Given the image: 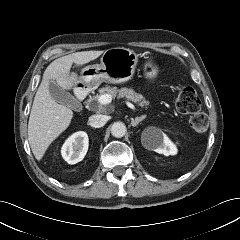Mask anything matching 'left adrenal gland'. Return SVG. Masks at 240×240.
Segmentation results:
<instances>
[{"instance_id":"left-adrenal-gland-1","label":"left adrenal gland","mask_w":240,"mask_h":240,"mask_svg":"<svg viewBox=\"0 0 240 240\" xmlns=\"http://www.w3.org/2000/svg\"><path fill=\"white\" fill-rule=\"evenodd\" d=\"M146 118L145 115L141 116V117H136L135 119L131 120V125L133 127H136L142 120H144Z\"/></svg>"}]
</instances>
